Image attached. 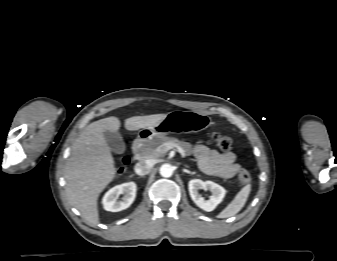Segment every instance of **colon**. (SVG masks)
Masks as SVG:
<instances>
[{"instance_id": "5ec220e1", "label": "colon", "mask_w": 337, "mask_h": 261, "mask_svg": "<svg viewBox=\"0 0 337 261\" xmlns=\"http://www.w3.org/2000/svg\"><path fill=\"white\" fill-rule=\"evenodd\" d=\"M212 140L214 141V143L216 144V146L223 150V151H227L231 148L232 145V140L230 137L223 135L221 133H213L212 134ZM129 164V159L128 157H124L120 163V165L118 166L117 169V173L121 174L125 171L126 167ZM251 182V175L249 172L242 170L239 174H238V184L241 187H244L246 185H248Z\"/></svg>"}]
</instances>
